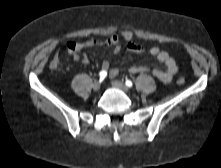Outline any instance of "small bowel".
<instances>
[{
	"label": "small bowel",
	"mask_w": 221,
	"mask_h": 168,
	"mask_svg": "<svg viewBox=\"0 0 221 168\" xmlns=\"http://www.w3.org/2000/svg\"><path fill=\"white\" fill-rule=\"evenodd\" d=\"M96 44H98L96 40H86L83 42H68L66 44V47L68 52L73 55L74 59H81L83 63L87 64L89 61L88 57L85 54L80 56L79 53L84 49L92 47ZM106 44L113 47V51L115 54L121 51L120 39L117 35H112L106 41ZM126 48L131 53H142L145 51V48L142 45L134 41L131 43L126 42ZM148 52L150 55L154 56L159 62H161L165 67L163 70L157 68L153 69L152 74L163 83L171 82L173 76L178 71V66L174 58L171 57V55L168 52L161 50L159 47H152L148 50ZM101 66L102 71L108 72L110 77H115L120 72L119 67L110 68V63L107 60H104ZM148 70L149 69L147 67L138 65L132 66L130 68V72L133 74L143 73Z\"/></svg>",
	"instance_id": "c3829d8e"
}]
</instances>
